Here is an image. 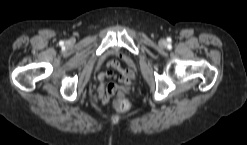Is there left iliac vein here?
Here are the masks:
<instances>
[{"label":"left iliac vein","instance_id":"1","mask_svg":"<svg viewBox=\"0 0 247 145\" xmlns=\"http://www.w3.org/2000/svg\"><path fill=\"white\" fill-rule=\"evenodd\" d=\"M159 46H161V47H165L166 46V41L165 40H160L159 41Z\"/></svg>","mask_w":247,"mask_h":145}]
</instances>
